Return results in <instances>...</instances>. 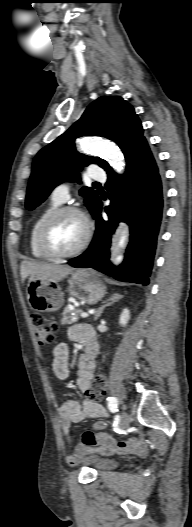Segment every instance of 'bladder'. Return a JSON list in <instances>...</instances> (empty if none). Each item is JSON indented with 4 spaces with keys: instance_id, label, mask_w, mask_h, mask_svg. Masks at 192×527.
Masks as SVG:
<instances>
[{
    "instance_id": "31cf9c89",
    "label": "bladder",
    "mask_w": 192,
    "mask_h": 527,
    "mask_svg": "<svg viewBox=\"0 0 192 527\" xmlns=\"http://www.w3.org/2000/svg\"><path fill=\"white\" fill-rule=\"evenodd\" d=\"M97 471H103L112 468L116 461L110 457H104L96 454L86 456L83 460Z\"/></svg>"
}]
</instances>
